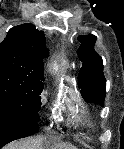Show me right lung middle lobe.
Masks as SVG:
<instances>
[{
    "mask_svg": "<svg viewBox=\"0 0 124 149\" xmlns=\"http://www.w3.org/2000/svg\"><path fill=\"white\" fill-rule=\"evenodd\" d=\"M43 87L28 86L0 73V129L28 127L38 123Z\"/></svg>",
    "mask_w": 124,
    "mask_h": 149,
    "instance_id": "right-lung-middle-lobe-1",
    "label": "right lung middle lobe"
}]
</instances>
